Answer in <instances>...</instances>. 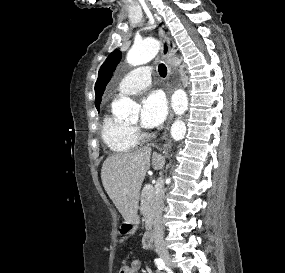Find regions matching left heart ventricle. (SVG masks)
<instances>
[{
  "label": "left heart ventricle",
  "mask_w": 285,
  "mask_h": 273,
  "mask_svg": "<svg viewBox=\"0 0 285 273\" xmlns=\"http://www.w3.org/2000/svg\"><path fill=\"white\" fill-rule=\"evenodd\" d=\"M135 123H136V120L132 122V124H135Z\"/></svg>",
  "instance_id": "b2bd125f"
}]
</instances>
